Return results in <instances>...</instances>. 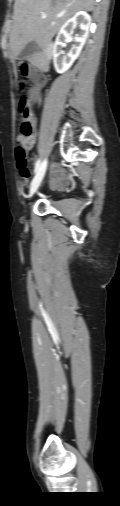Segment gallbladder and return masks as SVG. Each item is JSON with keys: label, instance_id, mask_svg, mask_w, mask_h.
I'll return each mask as SVG.
<instances>
[{"label": "gallbladder", "instance_id": "1", "mask_svg": "<svg viewBox=\"0 0 120 506\" xmlns=\"http://www.w3.org/2000/svg\"><path fill=\"white\" fill-rule=\"evenodd\" d=\"M38 50V45L36 42L34 41H31L29 42L24 48L23 50L21 51L20 53V57L21 58H28L30 56H32L33 54H35Z\"/></svg>", "mask_w": 120, "mask_h": 506}]
</instances>
